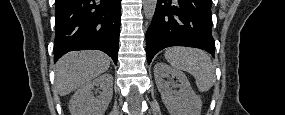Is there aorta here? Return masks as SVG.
Here are the masks:
<instances>
[{
    "instance_id": "aorta-1",
    "label": "aorta",
    "mask_w": 285,
    "mask_h": 115,
    "mask_svg": "<svg viewBox=\"0 0 285 115\" xmlns=\"http://www.w3.org/2000/svg\"><path fill=\"white\" fill-rule=\"evenodd\" d=\"M157 0H143V10L145 17L152 20L156 10Z\"/></svg>"
}]
</instances>
